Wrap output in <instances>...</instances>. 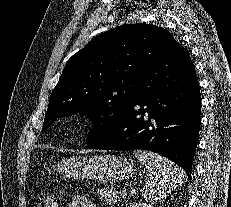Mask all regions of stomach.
Segmentation results:
<instances>
[{
	"instance_id": "0dacf381",
	"label": "stomach",
	"mask_w": 231,
	"mask_h": 207,
	"mask_svg": "<svg viewBox=\"0 0 231 207\" xmlns=\"http://www.w3.org/2000/svg\"><path fill=\"white\" fill-rule=\"evenodd\" d=\"M55 170L68 178H90L104 183L119 182L134 172L133 165L126 158L114 155L73 156L58 163Z\"/></svg>"
}]
</instances>
